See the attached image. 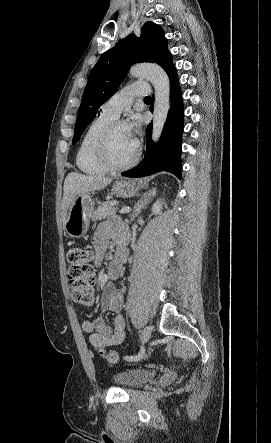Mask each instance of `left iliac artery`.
<instances>
[{
    "instance_id": "left-iliac-artery-1",
    "label": "left iliac artery",
    "mask_w": 271,
    "mask_h": 443,
    "mask_svg": "<svg viewBox=\"0 0 271 443\" xmlns=\"http://www.w3.org/2000/svg\"><path fill=\"white\" fill-rule=\"evenodd\" d=\"M145 356V348L142 346L137 355L125 356L124 359L128 361H139Z\"/></svg>"
}]
</instances>
